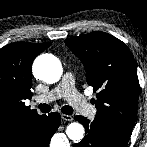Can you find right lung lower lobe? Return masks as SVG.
Here are the masks:
<instances>
[{
  "mask_svg": "<svg viewBox=\"0 0 147 147\" xmlns=\"http://www.w3.org/2000/svg\"><path fill=\"white\" fill-rule=\"evenodd\" d=\"M60 121L57 112L40 115L0 139V147H48Z\"/></svg>",
  "mask_w": 147,
  "mask_h": 147,
  "instance_id": "obj_1",
  "label": "right lung lower lobe"
}]
</instances>
